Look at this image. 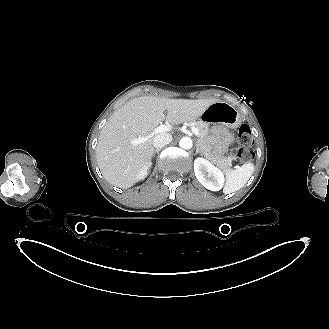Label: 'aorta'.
Instances as JSON below:
<instances>
[{"label": "aorta", "mask_w": 329, "mask_h": 329, "mask_svg": "<svg viewBox=\"0 0 329 329\" xmlns=\"http://www.w3.org/2000/svg\"><path fill=\"white\" fill-rule=\"evenodd\" d=\"M192 139L189 137H183L181 138V140L179 141V146L183 149H190L192 147Z\"/></svg>", "instance_id": "762f6f07"}]
</instances>
